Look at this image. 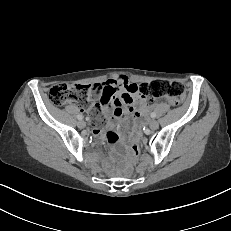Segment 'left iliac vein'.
<instances>
[{"mask_svg":"<svg viewBox=\"0 0 231 231\" xmlns=\"http://www.w3.org/2000/svg\"><path fill=\"white\" fill-rule=\"evenodd\" d=\"M149 127L151 130H157L159 127V123L156 120H151L149 123Z\"/></svg>","mask_w":231,"mask_h":231,"instance_id":"left-iliac-vein-1","label":"left iliac vein"}]
</instances>
